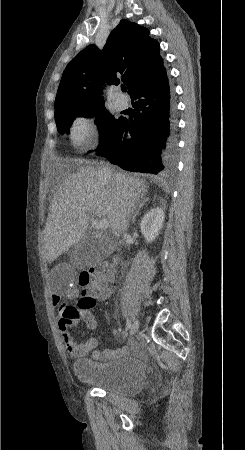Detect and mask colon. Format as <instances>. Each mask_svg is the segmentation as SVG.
Listing matches in <instances>:
<instances>
[{
  "instance_id": "colon-1",
  "label": "colon",
  "mask_w": 245,
  "mask_h": 450,
  "mask_svg": "<svg viewBox=\"0 0 245 450\" xmlns=\"http://www.w3.org/2000/svg\"><path fill=\"white\" fill-rule=\"evenodd\" d=\"M113 277L114 267L103 261H99L91 268L80 272L77 283L84 297L79 304V309H76L70 302L62 304L60 308L61 322L70 328L76 320L80 319L79 310L92 309L94 306V300L91 296L93 287H105Z\"/></svg>"
}]
</instances>
